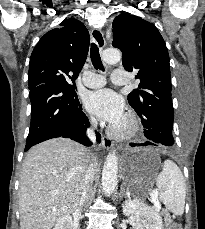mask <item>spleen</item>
Wrapping results in <instances>:
<instances>
[{
	"label": "spleen",
	"instance_id": "3e777b00",
	"mask_svg": "<svg viewBox=\"0 0 205 229\" xmlns=\"http://www.w3.org/2000/svg\"><path fill=\"white\" fill-rule=\"evenodd\" d=\"M159 192L153 191L151 196L158 198L165 207L175 215L184 213L186 184L180 168L171 160H166L162 171L156 178Z\"/></svg>",
	"mask_w": 205,
	"mask_h": 229
}]
</instances>
